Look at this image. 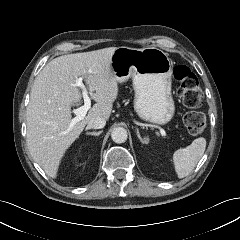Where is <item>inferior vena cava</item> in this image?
<instances>
[{
  "label": "inferior vena cava",
  "mask_w": 240,
  "mask_h": 240,
  "mask_svg": "<svg viewBox=\"0 0 240 240\" xmlns=\"http://www.w3.org/2000/svg\"><path fill=\"white\" fill-rule=\"evenodd\" d=\"M106 120L103 117L97 116L92 118L87 125L89 129H101L105 126Z\"/></svg>",
  "instance_id": "1"
}]
</instances>
